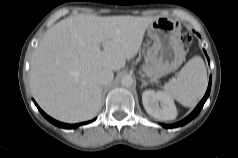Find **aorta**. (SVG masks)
<instances>
[{
    "label": "aorta",
    "instance_id": "1",
    "mask_svg": "<svg viewBox=\"0 0 238 158\" xmlns=\"http://www.w3.org/2000/svg\"><path fill=\"white\" fill-rule=\"evenodd\" d=\"M121 84L125 87H130L133 84V78L131 75H124L121 78Z\"/></svg>",
    "mask_w": 238,
    "mask_h": 158
}]
</instances>
